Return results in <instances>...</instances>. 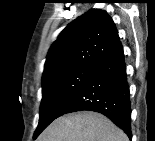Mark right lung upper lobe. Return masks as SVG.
<instances>
[{
    "label": "right lung upper lobe",
    "mask_w": 155,
    "mask_h": 141,
    "mask_svg": "<svg viewBox=\"0 0 155 141\" xmlns=\"http://www.w3.org/2000/svg\"><path fill=\"white\" fill-rule=\"evenodd\" d=\"M119 41L106 11L86 12L71 22L49 49L42 81L74 68H95Z\"/></svg>",
    "instance_id": "1"
}]
</instances>
